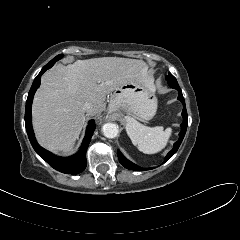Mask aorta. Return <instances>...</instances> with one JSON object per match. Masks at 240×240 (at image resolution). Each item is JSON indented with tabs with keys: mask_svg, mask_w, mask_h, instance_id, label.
I'll return each mask as SVG.
<instances>
[{
	"mask_svg": "<svg viewBox=\"0 0 240 240\" xmlns=\"http://www.w3.org/2000/svg\"><path fill=\"white\" fill-rule=\"evenodd\" d=\"M102 132L107 138H115L118 134V126L114 123H106L102 126Z\"/></svg>",
	"mask_w": 240,
	"mask_h": 240,
	"instance_id": "1",
	"label": "aorta"
}]
</instances>
